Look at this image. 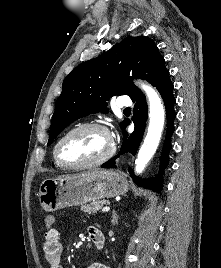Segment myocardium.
<instances>
[{
	"mask_svg": "<svg viewBox=\"0 0 221 268\" xmlns=\"http://www.w3.org/2000/svg\"><path fill=\"white\" fill-rule=\"evenodd\" d=\"M83 129H98L101 130L103 132H105L110 140H111V146L109 148V150L100 158L95 159L93 161H89V162H85V163H80V164H71V163H67L65 161L62 160V158L60 157V147L62 145V143L73 133L83 130ZM115 144L114 141L112 139V136L110 134V131L108 130V128L100 123H96V122H87V123H82L79 124L75 127H73L72 129H70L68 132H66L56 143L55 147H54V151H53V155H54V159L55 161L64 168L67 169H84V168H90V167H94V166H98L101 165L103 163H105L106 161H108L110 158H112V156L115 153Z\"/></svg>",
	"mask_w": 221,
	"mask_h": 268,
	"instance_id": "obj_1",
	"label": "myocardium"
}]
</instances>
